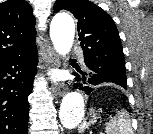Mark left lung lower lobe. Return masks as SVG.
Listing matches in <instances>:
<instances>
[{"label": "left lung lower lobe", "mask_w": 153, "mask_h": 134, "mask_svg": "<svg viewBox=\"0 0 153 134\" xmlns=\"http://www.w3.org/2000/svg\"><path fill=\"white\" fill-rule=\"evenodd\" d=\"M78 72L82 74V81L75 83V87L76 88L79 87L80 89L85 91V93H87V94H89L91 91H93L96 85L107 82V80L104 77H102L92 71L83 72L80 70ZM123 88L127 89V86H124Z\"/></svg>", "instance_id": "0a47b994"}]
</instances>
